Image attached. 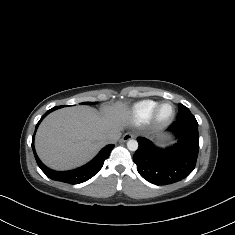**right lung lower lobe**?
Masks as SVG:
<instances>
[{
  "instance_id": "1",
  "label": "right lung lower lobe",
  "mask_w": 235,
  "mask_h": 235,
  "mask_svg": "<svg viewBox=\"0 0 235 235\" xmlns=\"http://www.w3.org/2000/svg\"><path fill=\"white\" fill-rule=\"evenodd\" d=\"M54 110L56 109L52 108L48 110L42 116V118L39 120V122L36 125L35 132L37 130L38 125L42 121V119ZM113 148H114L113 144L107 145L99 152V154L92 161H90L89 163H87L86 165L80 168L70 170V171H55L46 167L40 161L34 149V135L32 137V149H33L35 159L40 169L52 180L61 181V182L69 183V184H79V183L85 182L89 180L90 178H92L95 174H97L98 171L102 168L105 159L109 157V154Z\"/></svg>"
}]
</instances>
